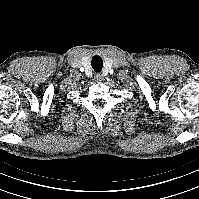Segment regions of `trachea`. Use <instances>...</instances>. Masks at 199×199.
Returning a JSON list of instances; mask_svg holds the SVG:
<instances>
[{
	"instance_id": "trachea-1",
	"label": "trachea",
	"mask_w": 199,
	"mask_h": 199,
	"mask_svg": "<svg viewBox=\"0 0 199 199\" xmlns=\"http://www.w3.org/2000/svg\"><path fill=\"white\" fill-rule=\"evenodd\" d=\"M91 65L95 72H101L102 67H103L102 58L99 56H94L92 58Z\"/></svg>"
}]
</instances>
